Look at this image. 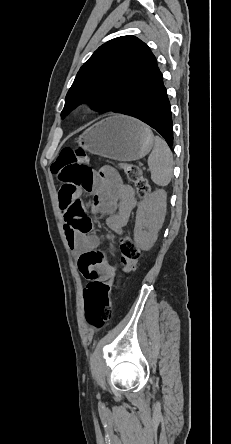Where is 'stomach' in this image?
Here are the masks:
<instances>
[{"instance_id":"stomach-1","label":"stomach","mask_w":231,"mask_h":444,"mask_svg":"<svg viewBox=\"0 0 231 444\" xmlns=\"http://www.w3.org/2000/svg\"><path fill=\"white\" fill-rule=\"evenodd\" d=\"M76 142L92 154L118 161H135L150 152L154 136L141 121L114 115L89 127Z\"/></svg>"}]
</instances>
